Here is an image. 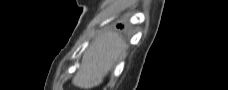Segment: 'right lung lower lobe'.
Returning <instances> with one entry per match:
<instances>
[{
  "label": "right lung lower lobe",
  "mask_w": 228,
  "mask_h": 90,
  "mask_svg": "<svg viewBox=\"0 0 228 90\" xmlns=\"http://www.w3.org/2000/svg\"><path fill=\"white\" fill-rule=\"evenodd\" d=\"M118 27H119V28H123V26H122V25H118Z\"/></svg>",
  "instance_id": "obj_1"
}]
</instances>
